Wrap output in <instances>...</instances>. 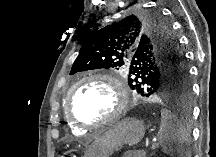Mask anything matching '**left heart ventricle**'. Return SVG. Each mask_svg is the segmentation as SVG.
I'll use <instances>...</instances> for the list:
<instances>
[{
  "label": "left heart ventricle",
  "instance_id": "b2bd125f",
  "mask_svg": "<svg viewBox=\"0 0 216 157\" xmlns=\"http://www.w3.org/2000/svg\"><path fill=\"white\" fill-rule=\"evenodd\" d=\"M115 96L114 90L103 82H85L73 91L72 112L82 121H99L113 111Z\"/></svg>",
  "mask_w": 216,
  "mask_h": 157
}]
</instances>
